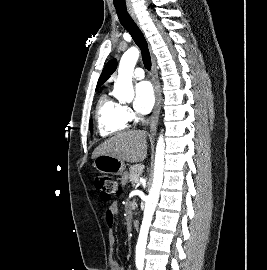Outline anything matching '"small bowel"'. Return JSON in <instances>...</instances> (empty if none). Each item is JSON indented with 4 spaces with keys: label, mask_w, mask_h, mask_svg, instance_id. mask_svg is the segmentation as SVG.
I'll return each instance as SVG.
<instances>
[{
    "label": "small bowel",
    "mask_w": 267,
    "mask_h": 270,
    "mask_svg": "<svg viewBox=\"0 0 267 270\" xmlns=\"http://www.w3.org/2000/svg\"><path fill=\"white\" fill-rule=\"evenodd\" d=\"M118 214V206L116 204L110 205L106 210V219L109 224H111ZM108 241L111 249V258H110V266L111 270H125L121 263L115 256V235L113 231H109L108 233Z\"/></svg>",
    "instance_id": "small-bowel-1"
}]
</instances>
